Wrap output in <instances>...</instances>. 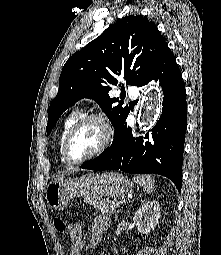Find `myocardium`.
Masks as SVG:
<instances>
[{"instance_id": "myocardium-1", "label": "myocardium", "mask_w": 221, "mask_h": 255, "mask_svg": "<svg viewBox=\"0 0 221 255\" xmlns=\"http://www.w3.org/2000/svg\"><path fill=\"white\" fill-rule=\"evenodd\" d=\"M91 121L98 122L101 125V127L103 129V140H102L101 144L99 145V147L94 152H92L91 154H89L88 156H86L82 159L74 160L71 157L70 152H69L70 142H71L74 134L83 125H85L86 123L91 122ZM112 136H113V126L106 116H104L101 113L86 114V115L80 117L67 132L66 137L63 142V148H62L63 157H64L65 161L70 165L83 164V163L99 156L100 154H102L106 150V148L109 146V144L112 140Z\"/></svg>"}]
</instances>
